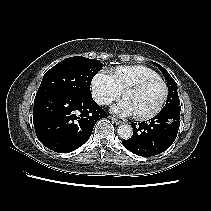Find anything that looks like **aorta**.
Returning <instances> with one entry per match:
<instances>
[{"label": "aorta", "mask_w": 211, "mask_h": 211, "mask_svg": "<svg viewBox=\"0 0 211 211\" xmlns=\"http://www.w3.org/2000/svg\"><path fill=\"white\" fill-rule=\"evenodd\" d=\"M132 134H133V129L130 125L123 124L119 126L118 135L120 136V138L127 140L132 137Z\"/></svg>", "instance_id": "1"}]
</instances>
